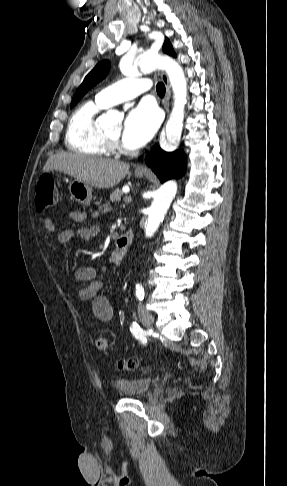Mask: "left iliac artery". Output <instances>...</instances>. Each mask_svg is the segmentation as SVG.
<instances>
[{"mask_svg": "<svg viewBox=\"0 0 287 486\" xmlns=\"http://www.w3.org/2000/svg\"><path fill=\"white\" fill-rule=\"evenodd\" d=\"M144 295H145L144 288L140 285H137L136 286V297H137V299L139 301L143 300ZM130 330H131V332L133 333V335L135 336L136 339H138L142 343L146 342V338L144 337L143 330L136 323L132 324Z\"/></svg>", "mask_w": 287, "mask_h": 486, "instance_id": "1", "label": "left iliac artery"}]
</instances>
